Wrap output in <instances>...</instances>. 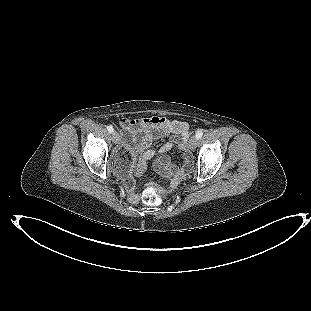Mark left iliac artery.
I'll return each instance as SVG.
<instances>
[{"instance_id": "obj_1", "label": "left iliac artery", "mask_w": 311, "mask_h": 311, "mask_svg": "<svg viewBox=\"0 0 311 311\" xmlns=\"http://www.w3.org/2000/svg\"><path fill=\"white\" fill-rule=\"evenodd\" d=\"M203 135V130H199L197 133H196V137L199 139L201 138Z\"/></svg>"}]
</instances>
